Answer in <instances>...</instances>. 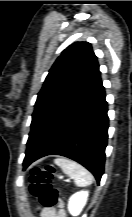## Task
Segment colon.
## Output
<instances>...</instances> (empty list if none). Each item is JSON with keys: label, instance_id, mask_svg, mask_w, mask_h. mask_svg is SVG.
<instances>
[{"label": "colon", "instance_id": "1", "mask_svg": "<svg viewBox=\"0 0 132 217\" xmlns=\"http://www.w3.org/2000/svg\"><path fill=\"white\" fill-rule=\"evenodd\" d=\"M56 170L51 165L35 167L31 171L30 191L43 208H59L58 190L52 185Z\"/></svg>", "mask_w": 132, "mask_h": 217}]
</instances>
